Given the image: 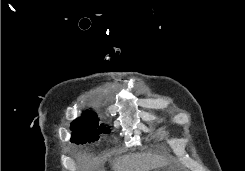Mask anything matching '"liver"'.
I'll list each match as a JSON object with an SVG mask.
<instances>
[{"instance_id": "1", "label": "liver", "mask_w": 245, "mask_h": 171, "mask_svg": "<svg viewBox=\"0 0 245 171\" xmlns=\"http://www.w3.org/2000/svg\"><path fill=\"white\" fill-rule=\"evenodd\" d=\"M79 163L85 169L84 171H93V166L97 160H90L85 156L78 158ZM169 160L151 153H135L123 155L116 158L113 162L114 171H150L166 166Z\"/></svg>"}]
</instances>
